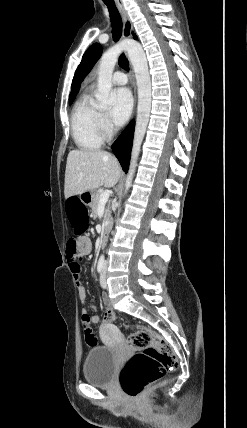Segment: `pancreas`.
<instances>
[{
	"label": "pancreas",
	"instance_id": "1",
	"mask_svg": "<svg viewBox=\"0 0 247 428\" xmlns=\"http://www.w3.org/2000/svg\"><path fill=\"white\" fill-rule=\"evenodd\" d=\"M101 194H102V191H100V190L95 191L94 199H93V202L91 204L92 212L94 215H97V209H98V205L100 202ZM107 215H108V217L110 215L109 209L107 210Z\"/></svg>",
	"mask_w": 247,
	"mask_h": 428
}]
</instances>
